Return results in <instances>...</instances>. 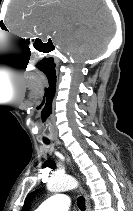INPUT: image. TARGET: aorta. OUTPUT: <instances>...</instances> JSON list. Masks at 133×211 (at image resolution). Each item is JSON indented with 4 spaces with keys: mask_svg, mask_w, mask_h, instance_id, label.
<instances>
[{
    "mask_svg": "<svg viewBox=\"0 0 133 211\" xmlns=\"http://www.w3.org/2000/svg\"><path fill=\"white\" fill-rule=\"evenodd\" d=\"M77 186V180L69 175H56L47 183V189L50 192L68 191L76 188Z\"/></svg>",
    "mask_w": 133,
    "mask_h": 211,
    "instance_id": "obj_1",
    "label": "aorta"
}]
</instances>
